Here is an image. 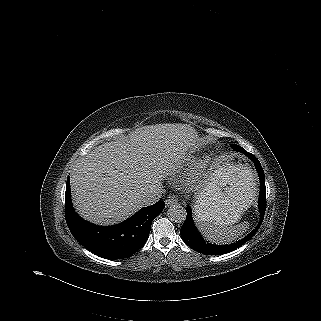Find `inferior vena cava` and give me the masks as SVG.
<instances>
[{"label":"inferior vena cava","mask_w":321,"mask_h":321,"mask_svg":"<svg viewBox=\"0 0 321 321\" xmlns=\"http://www.w3.org/2000/svg\"><path fill=\"white\" fill-rule=\"evenodd\" d=\"M162 193H163V189L157 188L154 191L144 194L141 198V201L144 206L152 205L161 199Z\"/></svg>","instance_id":"1"}]
</instances>
